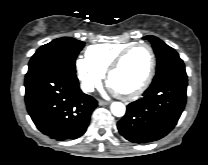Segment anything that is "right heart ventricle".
I'll return each instance as SVG.
<instances>
[{
    "instance_id": "right-heart-ventricle-1",
    "label": "right heart ventricle",
    "mask_w": 208,
    "mask_h": 165,
    "mask_svg": "<svg viewBox=\"0 0 208 165\" xmlns=\"http://www.w3.org/2000/svg\"><path fill=\"white\" fill-rule=\"evenodd\" d=\"M132 43L112 42L90 45L85 50V57L101 73H106L116 55Z\"/></svg>"
}]
</instances>
